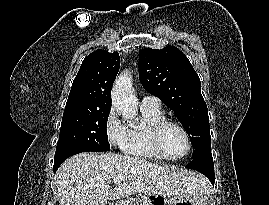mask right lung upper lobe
Returning <instances> with one entry per match:
<instances>
[{
  "instance_id": "1",
  "label": "right lung upper lobe",
  "mask_w": 269,
  "mask_h": 205,
  "mask_svg": "<svg viewBox=\"0 0 269 205\" xmlns=\"http://www.w3.org/2000/svg\"><path fill=\"white\" fill-rule=\"evenodd\" d=\"M119 67L118 52L99 49L89 54L73 81L66 107L111 109V88Z\"/></svg>"
}]
</instances>
